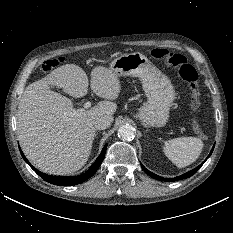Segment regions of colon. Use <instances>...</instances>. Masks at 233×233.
<instances>
[{
    "label": "colon",
    "mask_w": 233,
    "mask_h": 233,
    "mask_svg": "<svg viewBox=\"0 0 233 233\" xmlns=\"http://www.w3.org/2000/svg\"><path fill=\"white\" fill-rule=\"evenodd\" d=\"M150 55L155 59L163 60L167 65L178 70L179 76L187 84L190 91V108L193 116V130L198 136L204 137V132L195 118L200 106L198 74L195 68L188 63L185 56L178 53H172L165 48H153L150 50ZM63 61V57H56L54 59L47 60L42 63L41 69L44 72H48L59 66Z\"/></svg>",
    "instance_id": "obj_1"
}]
</instances>
